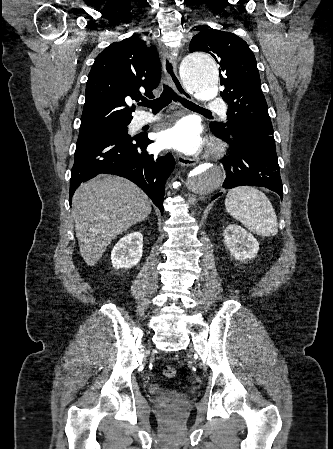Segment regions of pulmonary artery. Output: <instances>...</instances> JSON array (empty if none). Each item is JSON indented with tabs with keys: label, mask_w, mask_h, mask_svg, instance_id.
Masks as SVG:
<instances>
[{
	"label": "pulmonary artery",
	"mask_w": 333,
	"mask_h": 449,
	"mask_svg": "<svg viewBox=\"0 0 333 449\" xmlns=\"http://www.w3.org/2000/svg\"><path fill=\"white\" fill-rule=\"evenodd\" d=\"M206 106L211 109H218V108H224V103L221 99L216 98V99L210 100L206 104ZM156 119H157L156 116L144 113L136 119V125L143 126L150 122L155 121Z\"/></svg>",
	"instance_id": "1"
}]
</instances>
